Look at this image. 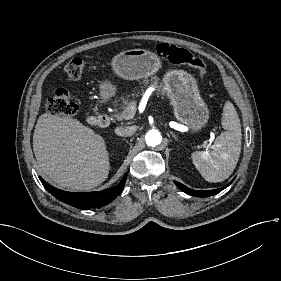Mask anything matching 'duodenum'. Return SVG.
<instances>
[{"label": "duodenum", "mask_w": 281, "mask_h": 281, "mask_svg": "<svg viewBox=\"0 0 281 281\" xmlns=\"http://www.w3.org/2000/svg\"><path fill=\"white\" fill-rule=\"evenodd\" d=\"M87 121H88V123H90L92 125L106 126L110 123L111 118L108 114L103 113L100 116H89V117H87Z\"/></svg>", "instance_id": "1"}]
</instances>
